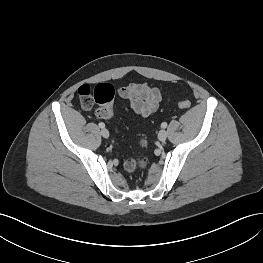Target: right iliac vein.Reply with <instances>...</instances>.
Wrapping results in <instances>:
<instances>
[{
    "label": "right iliac vein",
    "mask_w": 263,
    "mask_h": 263,
    "mask_svg": "<svg viewBox=\"0 0 263 263\" xmlns=\"http://www.w3.org/2000/svg\"><path fill=\"white\" fill-rule=\"evenodd\" d=\"M100 134L102 135V137L104 138H108L109 137V131L105 128H103L101 131H100Z\"/></svg>",
    "instance_id": "right-iliac-vein-1"
}]
</instances>
